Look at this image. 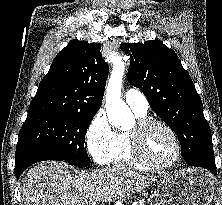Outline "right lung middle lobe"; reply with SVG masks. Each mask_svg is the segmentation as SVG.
Wrapping results in <instances>:
<instances>
[{"mask_svg": "<svg viewBox=\"0 0 222 205\" xmlns=\"http://www.w3.org/2000/svg\"><path fill=\"white\" fill-rule=\"evenodd\" d=\"M95 113L54 111L28 115L18 138L16 155L44 151L69 164L86 167L90 159L85 135Z\"/></svg>", "mask_w": 222, "mask_h": 205, "instance_id": "dd1d6c3e", "label": "right lung middle lobe"}]
</instances>
